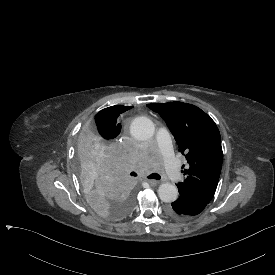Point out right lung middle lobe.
Returning <instances> with one entry per match:
<instances>
[{
  "instance_id": "1",
  "label": "right lung middle lobe",
  "mask_w": 275,
  "mask_h": 275,
  "mask_svg": "<svg viewBox=\"0 0 275 275\" xmlns=\"http://www.w3.org/2000/svg\"><path fill=\"white\" fill-rule=\"evenodd\" d=\"M98 125L84 126L77 142V171L88 204L101 216L121 220L133 206L125 175L129 155L111 141L103 143Z\"/></svg>"
}]
</instances>
